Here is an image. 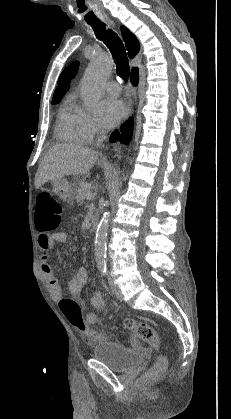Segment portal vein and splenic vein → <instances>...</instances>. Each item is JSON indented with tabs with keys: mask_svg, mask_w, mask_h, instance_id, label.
Wrapping results in <instances>:
<instances>
[{
	"mask_svg": "<svg viewBox=\"0 0 231 419\" xmlns=\"http://www.w3.org/2000/svg\"><path fill=\"white\" fill-rule=\"evenodd\" d=\"M85 198H86L87 200H91V199H92V193H91V192H87V193L85 194Z\"/></svg>",
	"mask_w": 231,
	"mask_h": 419,
	"instance_id": "obj_1",
	"label": "portal vein and splenic vein"
}]
</instances>
